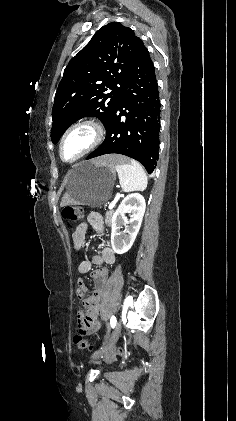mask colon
Wrapping results in <instances>:
<instances>
[{
	"label": "colon",
	"instance_id": "colon-1",
	"mask_svg": "<svg viewBox=\"0 0 236 421\" xmlns=\"http://www.w3.org/2000/svg\"><path fill=\"white\" fill-rule=\"evenodd\" d=\"M62 216L65 220L70 223H76L80 221L83 217V209L79 206H66L62 210ZM80 325L84 324V321L79 320ZM74 343L76 347L80 350H89L90 344L80 335L77 334L74 336ZM121 350H117V354H122Z\"/></svg>",
	"mask_w": 236,
	"mask_h": 421
}]
</instances>
